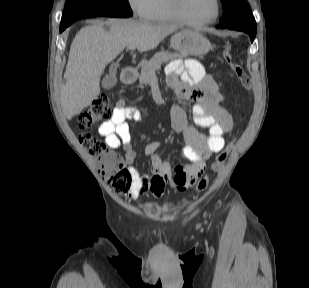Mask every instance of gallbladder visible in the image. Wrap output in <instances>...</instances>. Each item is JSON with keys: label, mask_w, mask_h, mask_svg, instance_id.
<instances>
[{"label": "gallbladder", "mask_w": 309, "mask_h": 288, "mask_svg": "<svg viewBox=\"0 0 309 288\" xmlns=\"http://www.w3.org/2000/svg\"><path fill=\"white\" fill-rule=\"evenodd\" d=\"M116 82H117L116 70H114V68L111 67L109 74H107L102 80V87L104 89H111L112 87L115 86Z\"/></svg>", "instance_id": "1"}]
</instances>
